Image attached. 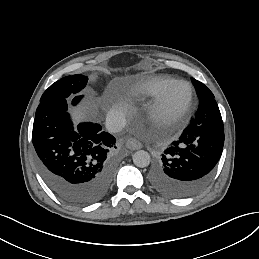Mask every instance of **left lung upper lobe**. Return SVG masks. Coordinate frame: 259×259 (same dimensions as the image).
Masks as SVG:
<instances>
[{
	"label": "left lung upper lobe",
	"mask_w": 259,
	"mask_h": 259,
	"mask_svg": "<svg viewBox=\"0 0 259 259\" xmlns=\"http://www.w3.org/2000/svg\"><path fill=\"white\" fill-rule=\"evenodd\" d=\"M191 80L195 86L199 100L205 99L207 97H214L213 93L203 83L195 80L194 78H191Z\"/></svg>",
	"instance_id": "left-lung-upper-lobe-1"
}]
</instances>
